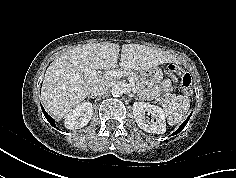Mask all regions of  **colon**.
Listing matches in <instances>:
<instances>
[{
    "label": "colon",
    "instance_id": "1",
    "mask_svg": "<svg viewBox=\"0 0 236 178\" xmlns=\"http://www.w3.org/2000/svg\"><path fill=\"white\" fill-rule=\"evenodd\" d=\"M168 72L173 76H181L182 91L187 95L191 94L193 81L190 74L185 73L180 66L175 64L168 66Z\"/></svg>",
    "mask_w": 236,
    "mask_h": 178
}]
</instances>
